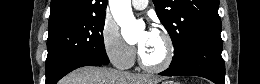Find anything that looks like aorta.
Instances as JSON below:
<instances>
[{"instance_id":"762f6f07","label":"aorta","mask_w":260,"mask_h":84,"mask_svg":"<svg viewBox=\"0 0 260 84\" xmlns=\"http://www.w3.org/2000/svg\"><path fill=\"white\" fill-rule=\"evenodd\" d=\"M110 10L126 41L138 39L142 25L135 19L130 0H110Z\"/></svg>"}]
</instances>
